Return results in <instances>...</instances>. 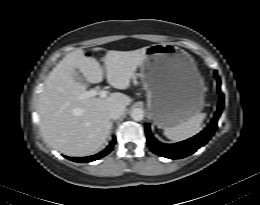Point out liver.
<instances>
[{
  "label": "liver",
  "mask_w": 260,
  "mask_h": 205,
  "mask_svg": "<svg viewBox=\"0 0 260 205\" xmlns=\"http://www.w3.org/2000/svg\"><path fill=\"white\" fill-rule=\"evenodd\" d=\"M146 49L107 51L104 59L107 82L117 89L128 88L135 71L145 59ZM78 74L89 83L103 80L99 63L78 49L66 55L50 72L38 103L44 139L68 156L95 153L110 135L112 122L108 110L116 105L126 107L132 102L129 96L120 92L105 98L79 99L86 92L87 84L76 80Z\"/></svg>",
  "instance_id": "1"
}]
</instances>
